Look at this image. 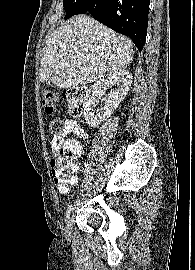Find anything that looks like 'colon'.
<instances>
[{
  "label": "colon",
  "instance_id": "1",
  "mask_svg": "<svg viewBox=\"0 0 195 270\" xmlns=\"http://www.w3.org/2000/svg\"><path fill=\"white\" fill-rule=\"evenodd\" d=\"M64 100L68 105L69 113L74 117H79L84 111L88 98V90L84 87H71L64 91ZM41 102L44 111L52 114L59 104V95L55 92L44 90L41 93ZM50 132L55 137L65 134V123L58 119H52L49 123ZM81 146L75 139L66 140L55 151L51 160L52 175L54 184L61 193H65L76 182L77 162L81 158Z\"/></svg>",
  "mask_w": 195,
  "mask_h": 270
}]
</instances>
